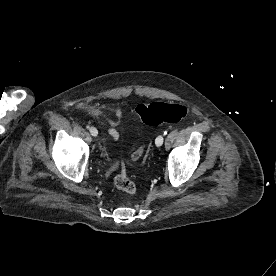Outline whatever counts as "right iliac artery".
I'll return each instance as SVG.
<instances>
[{"mask_svg":"<svg viewBox=\"0 0 276 276\" xmlns=\"http://www.w3.org/2000/svg\"><path fill=\"white\" fill-rule=\"evenodd\" d=\"M87 129H90V126H87Z\"/></svg>","mask_w":276,"mask_h":276,"instance_id":"82829eb1","label":"right iliac artery"}]
</instances>
